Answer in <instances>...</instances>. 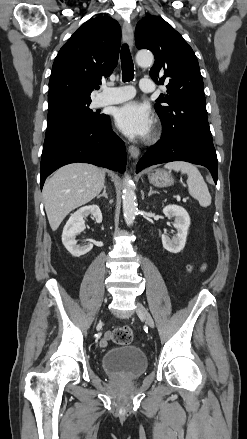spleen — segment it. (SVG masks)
I'll use <instances>...</instances> for the list:
<instances>
[{
	"label": "spleen",
	"instance_id": "1",
	"mask_svg": "<svg viewBox=\"0 0 247 439\" xmlns=\"http://www.w3.org/2000/svg\"><path fill=\"white\" fill-rule=\"evenodd\" d=\"M164 167L169 170L181 171V173L187 174V185L189 194L194 199L198 200L199 204L202 207L210 206L211 195L197 167L184 161L169 162L166 163Z\"/></svg>",
	"mask_w": 247,
	"mask_h": 439
}]
</instances>
